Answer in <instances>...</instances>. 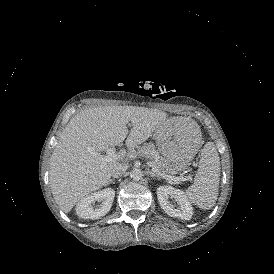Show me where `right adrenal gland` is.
<instances>
[{"label": "right adrenal gland", "instance_id": "1", "mask_svg": "<svg viewBox=\"0 0 274 274\" xmlns=\"http://www.w3.org/2000/svg\"><path fill=\"white\" fill-rule=\"evenodd\" d=\"M110 183H114V180H110V181H109V184H110Z\"/></svg>", "mask_w": 274, "mask_h": 274}]
</instances>
